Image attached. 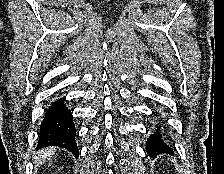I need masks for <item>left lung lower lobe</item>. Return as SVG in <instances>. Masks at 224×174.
I'll return each instance as SVG.
<instances>
[{
  "label": "left lung lower lobe",
  "instance_id": "obj_1",
  "mask_svg": "<svg viewBox=\"0 0 224 174\" xmlns=\"http://www.w3.org/2000/svg\"><path fill=\"white\" fill-rule=\"evenodd\" d=\"M162 125L160 121L155 125V130L146 142V151L148 155L155 156L160 153H171L170 148L164 138V134L161 131Z\"/></svg>",
  "mask_w": 224,
  "mask_h": 174
}]
</instances>
